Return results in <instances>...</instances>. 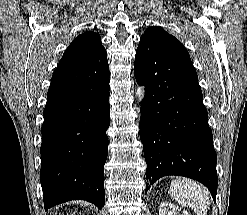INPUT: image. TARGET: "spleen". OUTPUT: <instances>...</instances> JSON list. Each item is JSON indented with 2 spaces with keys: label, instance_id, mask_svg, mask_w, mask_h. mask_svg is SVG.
<instances>
[{
  "label": "spleen",
  "instance_id": "1",
  "mask_svg": "<svg viewBox=\"0 0 247 215\" xmlns=\"http://www.w3.org/2000/svg\"><path fill=\"white\" fill-rule=\"evenodd\" d=\"M172 197L181 205L191 208L196 215H207L210 195L198 182L187 178H178L171 183Z\"/></svg>",
  "mask_w": 247,
  "mask_h": 215
}]
</instances>
